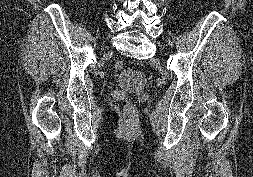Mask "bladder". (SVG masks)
I'll use <instances>...</instances> for the list:
<instances>
[{
    "label": "bladder",
    "mask_w": 253,
    "mask_h": 177,
    "mask_svg": "<svg viewBox=\"0 0 253 177\" xmlns=\"http://www.w3.org/2000/svg\"><path fill=\"white\" fill-rule=\"evenodd\" d=\"M117 82L123 87L137 88L146 84V78L142 71L135 68H128L120 73Z\"/></svg>",
    "instance_id": "1"
}]
</instances>
